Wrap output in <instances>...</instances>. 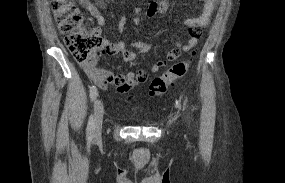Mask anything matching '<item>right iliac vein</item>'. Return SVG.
I'll return each mask as SVG.
<instances>
[{
    "instance_id": "obj_1",
    "label": "right iliac vein",
    "mask_w": 285,
    "mask_h": 183,
    "mask_svg": "<svg viewBox=\"0 0 285 183\" xmlns=\"http://www.w3.org/2000/svg\"><path fill=\"white\" fill-rule=\"evenodd\" d=\"M94 135L95 137L100 136L102 123H103V115H104V107L102 102L99 99H96L94 105Z\"/></svg>"
}]
</instances>
